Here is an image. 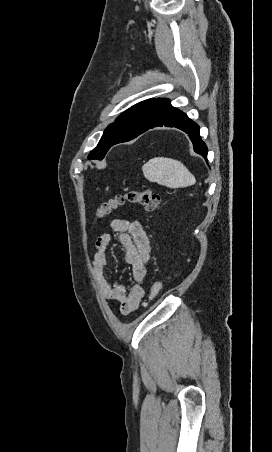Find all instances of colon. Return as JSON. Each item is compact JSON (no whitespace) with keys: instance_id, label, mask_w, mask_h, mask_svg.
Segmentation results:
<instances>
[{"instance_id":"obj_1","label":"colon","mask_w":272,"mask_h":452,"mask_svg":"<svg viewBox=\"0 0 272 452\" xmlns=\"http://www.w3.org/2000/svg\"><path fill=\"white\" fill-rule=\"evenodd\" d=\"M129 203L140 206L147 212H155L160 204V196L152 190H128L112 198L102 201L96 211V219H103L110 216L118 207ZM162 282L156 280L150 288L149 299L153 300L161 291Z\"/></svg>"}]
</instances>
